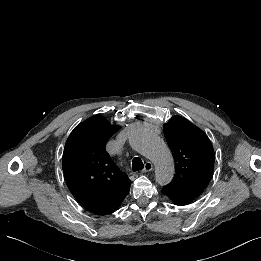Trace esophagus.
I'll list each match as a JSON object with an SVG mask.
<instances>
[{"instance_id": "1", "label": "esophagus", "mask_w": 261, "mask_h": 261, "mask_svg": "<svg viewBox=\"0 0 261 261\" xmlns=\"http://www.w3.org/2000/svg\"><path fill=\"white\" fill-rule=\"evenodd\" d=\"M153 169V164L150 161H147L144 165V169L142 172L146 173Z\"/></svg>"}]
</instances>
